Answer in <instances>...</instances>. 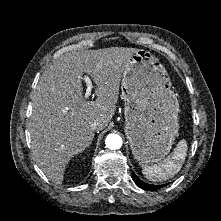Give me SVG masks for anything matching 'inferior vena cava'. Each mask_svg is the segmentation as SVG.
I'll return each instance as SVG.
<instances>
[{"instance_id": "inferior-vena-cava-1", "label": "inferior vena cava", "mask_w": 221, "mask_h": 221, "mask_svg": "<svg viewBox=\"0 0 221 221\" xmlns=\"http://www.w3.org/2000/svg\"><path fill=\"white\" fill-rule=\"evenodd\" d=\"M101 127V124L98 121H95L91 124V129L94 130H99Z\"/></svg>"}]
</instances>
